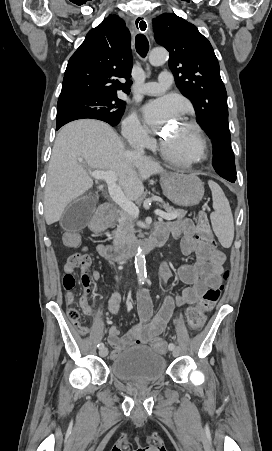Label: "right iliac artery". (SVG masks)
<instances>
[{
  "instance_id": "right-iliac-artery-1",
  "label": "right iliac artery",
  "mask_w": 272,
  "mask_h": 451,
  "mask_svg": "<svg viewBox=\"0 0 272 451\" xmlns=\"http://www.w3.org/2000/svg\"><path fill=\"white\" fill-rule=\"evenodd\" d=\"M142 284H143V283H142ZM97 347H98L99 349H101V348L104 347V344L101 342V343H99V344L97 345Z\"/></svg>"
}]
</instances>
